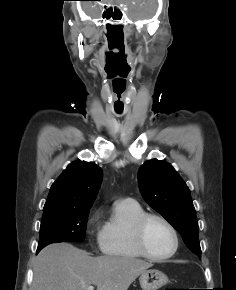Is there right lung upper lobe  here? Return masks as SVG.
<instances>
[{"instance_id":"cb5924a9","label":"right lung upper lobe","mask_w":236,"mask_h":290,"mask_svg":"<svg viewBox=\"0 0 236 290\" xmlns=\"http://www.w3.org/2000/svg\"><path fill=\"white\" fill-rule=\"evenodd\" d=\"M102 169L93 162L73 161L52 184L43 211H86L96 199Z\"/></svg>"}]
</instances>
